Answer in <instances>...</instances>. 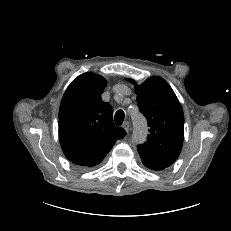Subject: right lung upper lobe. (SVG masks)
Here are the masks:
<instances>
[{
    "instance_id": "obj_1",
    "label": "right lung upper lobe",
    "mask_w": 231,
    "mask_h": 231,
    "mask_svg": "<svg viewBox=\"0 0 231 231\" xmlns=\"http://www.w3.org/2000/svg\"><path fill=\"white\" fill-rule=\"evenodd\" d=\"M107 82L94 73H83L69 85L59 109V140L65 156L74 164H99L124 129L113 123V109L101 94Z\"/></svg>"
}]
</instances>
